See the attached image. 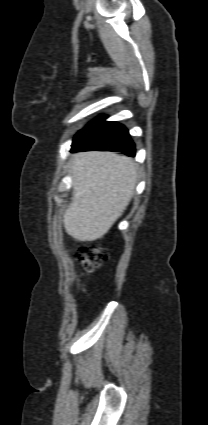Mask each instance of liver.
Wrapping results in <instances>:
<instances>
[{"mask_svg": "<svg viewBox=\"0 0 208 425\" xmlns=\"http://www.w3.org/2000/svg\"><path fill=\"white\" fill-rule=\"evenodd\" d=\"M70 173L73 193L64 214L66 232L81 242L100 239L133 197L135 163L112 152H82L74 155Z\"/></svg>", "mask_w": 208, "mask_h": 425, "instance_id": "6515ba94", "label": "liver"}]
</instances>
